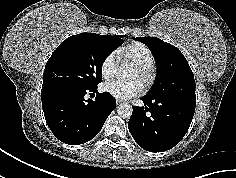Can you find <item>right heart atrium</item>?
Returning a JSON list of instances; mask_svg holds the SVG:
<instances>
[{"label": "right heart atrium", "instance_id": "right-heart-atrium-1", "mask_svg": "<svg viewBox=\"0 0 236 178\" xmlns=\"http://www.w3.org/2000/svg\"><path fill=\"white\" fill-rule=\"evenodd\" d=\"M118 58L114 53L107 54L101 62L100 72L105 80L111 79L118 68Z\"/></svg>", "mask_w": 236, "mask_h": 178}]
</instances>
